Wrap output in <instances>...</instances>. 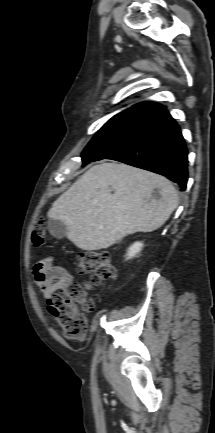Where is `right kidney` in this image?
<instances>
[{
	"mask_svg": "<svg viewBox=\"0 0 215 433\" xmlns=\"http://www.w3.org/2000/svg\"><path fill=\"white\" fill-rule=\"evenodd\" d=\"M142 247V242H135L134 244H132L127 250L126 259L128 260L135 257L141 251Z\"/></svg>",
	"mask_w": 215,
	"mask_h": 433,
	"instance_id": "1",
	"label": "right kidney"
}]
</instances>
